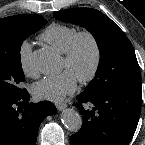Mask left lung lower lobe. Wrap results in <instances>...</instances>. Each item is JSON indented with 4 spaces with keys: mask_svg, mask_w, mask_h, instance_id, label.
<instances>
[{
    "mask_svg": "<svg viewBox=\"0 0 145 145\" xmlns=\"http://www.w3.org/2000/svg\"><path fill=\"white\" fill-rule=\"evenodd\" d=\"M74 104L83 124L71 145H128L137 128L142 103L141 86L101 95L82 92ZM91 105V109L85 107Z\"/></svg>",
    "mask_w": 145,
    "mask_h": 145,
    "instance_id": "left-lung-lower-lobe-1",
    "label": "left lung lower lobe"
}]
</instances>
